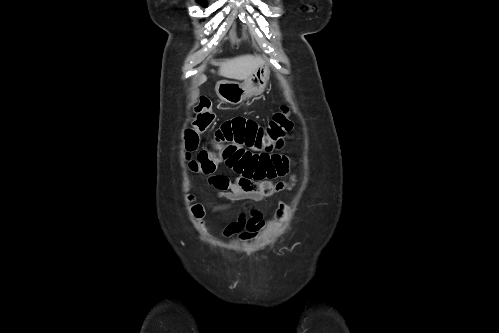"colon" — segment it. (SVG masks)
<instances>
[{"label": "colon", "mask_w": 499, "mask_h": 333, "mask_svg": "<svg viewBox=\"0 0 499 333\" xmlns=\"http://www.w3.org/2000/svg\"><path fill=\"white\" fill-rule=\"evenodd\" d=\"M196 118L193 127L188 129L184 134V145L186 149V157L188 164L193 172L206 175L213 174L218 164L223 161V155L220 143L217 139H212L208 142L205 149L199 151L196 157H191V153L195 151L199 143V133L206 130L212 123L214 115L210 110V102L206 98L200 99L196 108ZM292 128L289 110L286 106L276 112L265 126L266 143L271 144L284 138ZM192 212L198 218L203 216V209L199 204L192 205ZM287 212L286 206H280L277 211L278 219L285 218Z\"/></svg>", "instance_id": "5ec220e1"}]
</instances>
